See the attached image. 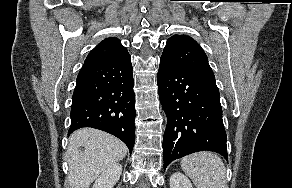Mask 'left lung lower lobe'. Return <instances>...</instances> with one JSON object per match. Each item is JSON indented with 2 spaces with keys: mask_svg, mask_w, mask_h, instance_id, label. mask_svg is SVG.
<instances>
[{
  "mask_svg": "<svg viewBox=\"0 0 292 188\" xmlns=\"http://www.w3.org/2000/svg\"><path fill=\"white\" fill-rule=\"evenodd\" d=\"M160 102L167 115L164 168L185 155L210 150L227 156L226 132L215 79L161 58Z\"/></svg>",
  "mask_w": 292,
  "mask_h": 188,
  "instance_id": "left-lung-lower-lobe-1",
  "label": "left lung lower lobe"
}]
</instances>
